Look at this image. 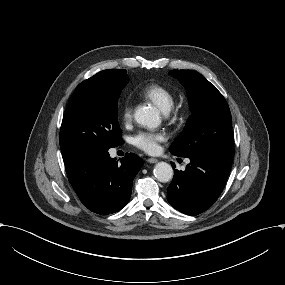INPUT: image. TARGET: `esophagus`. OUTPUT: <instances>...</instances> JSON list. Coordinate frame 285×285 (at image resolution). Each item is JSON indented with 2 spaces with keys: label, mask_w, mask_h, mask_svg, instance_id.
<instances>
[{
  "label": "esophagus",
  "mask_w": 285,
  "mask_h": 285,
  "mask_svg": "<svg viewBox=\"0 0 285 285\" xmlns=\"http://www.w3.org/2000/svg\"><path fill=\"white\" fill-rule=\"evenodd\" d=\"M158 160L156 159V158H149V159H147V162L148 163H151V164H154V163H156Z\"/></svg>",
  "instance_id": "obj_1"
}]
</instances>
